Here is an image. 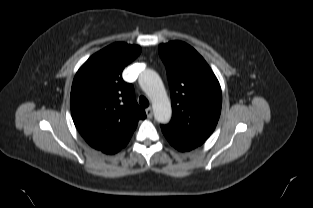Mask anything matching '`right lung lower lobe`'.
Returning <instances> with one entry per match:
<instances>
[{
	"label": "right lung lower lobe",
	"mask_w": 313,
	"mask_h": 208,
	"mask_svg": "<svg viewBox=\"0 0 313 208\" xmlns=\"http://www.w3.org/2000/svg\"><path fill=\"white\" fill-rule=\"evenodd\" d=\"M128 142H124L121 144L118 143H105V142H100V141H94V142H88L90 146L97 150H101L102 152L106 154H114L121 150L123 147L126 146Z\"/></svg>",
	"instance_id": "right-lung-lower-lobe-1"
}]
</instances>
